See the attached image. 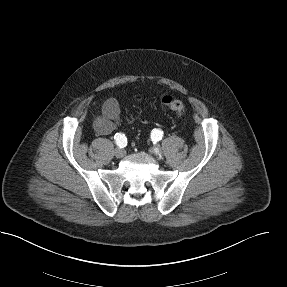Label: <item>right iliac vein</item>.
<instances>
[{
	"label": "right iliac vein",
	"instance_id": "63e3f726",
	"mask_svg": "<svg viewBox=\"0 0 287 287\" xmlns=\"http://www.w3.org/2000/svg\"><path fill=\"white\" fill-rule=\"evenodd\" d=\"M114 155L117 158H122L125 156V150L124 149H120V148H116L114 151Z\"/></svg>",
	"mask_w": 287,
	"mask_h": 287
}]
</instances>
